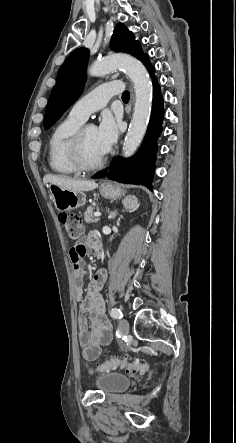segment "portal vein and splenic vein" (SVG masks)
Returning <instances> with one entry per match:
<instances>
[{"label": "portal vein and splenic vein", "instance_id": "1", "mask_svg": "<svg viewBox=\"0 0 236 443\" xmlns=\"http://www.w3.org/2000/svg\"><path fill=\"white\" fill-rule=\"evenodd\" d=\"M94 216H95V217H100V216H101V213H100V212H96V213H94Z\"/></svg>", "mask_w": 236, "mask_h": 443}]
</instances>
